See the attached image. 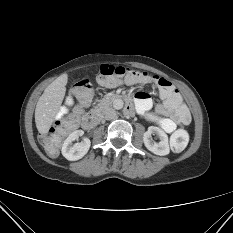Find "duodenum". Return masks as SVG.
I'll return each instance as SVG.
<instances>
[{
  "label": "duodenum",
  "instance_id": "410a0bca",
  "mask_svg": "<svg viewBox=\"0 0 233 233\" xmlns=\"http://www.w3.org/2000/svg\"><path fill=\"white\" fill-rule=\"evenodd\" d=\"M115 99H119V97H116ZM124 99L126 101V111L128 113H132L134 108H133V104H132L131 100L127 97H125ZM100 116H101L100 112H98V111L88 113L82 119V127L86 130L94 128L98 124V122L100 120Z\"/></svg>",
  "mask_w": 233,
  "mask_h": 233
}]
</instances>
